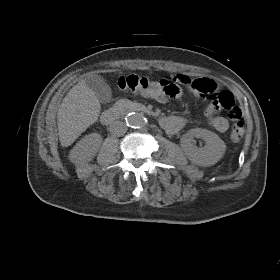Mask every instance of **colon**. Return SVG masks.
I'll return each instance as SVG.
<instances>
[{
	"mask_svg": "<svg viewBox=\"0 0 280 280\" xmlns=\"http://www.w3.org/2000/svg\"><path fill=\"white\" fill-rule=\"evenodd\" d=\"M118 87L121 90L140 93L148 97L159 100L175 99L181 95V85L174 77H162L157 80L148 79L137 75H128L118 80ZM216 87L212 83H207L199 88L202 93H213ZM212 107L214 111L223 109L227 117L235 121L231 130V139L239 141L244 135V125L239 121L242 112L236 105L234 96L228 91L216 93L212 98Z\"/></svg>",
	"mask_w": 280,
	"mask_h": 280,
	"instance_id": "colon-1",
	"label": "colon"
}]
</instances>
